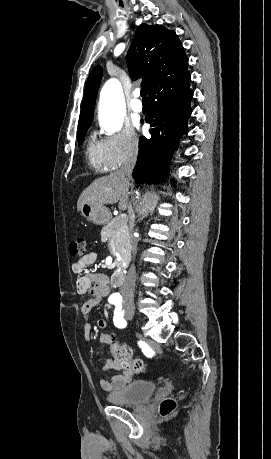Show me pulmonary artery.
<instances>
[{"mask_svg":"<svg viewBox=\"0 0 271 459\" xmlns=\"http://www.w3.org/2000/svg\"><path fill=\"white\" fill-rule=\"evenodd\" d=\"M141 92L139 89L135 91V97L130 103V109L133 113L139 114L143 110V103L140 99Z\"/></svg>","mask_w":271,"mask_h":459,"instance_id":"obj_1","label":"pulmonary artery"}]
</instances>
